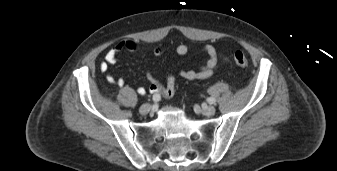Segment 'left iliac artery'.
<instances>
[{"instance_id": "44dca946", "label": "left iliac artery", "mask_w": 337, "mask_h": 171, "mask_svg": "<svg viewBox=\"0 0 337 171\" xmlns=\"http://www.w3.org/2000/svg\"><path fill=\"white\" fill-rule=\"evenodd\" d=\"M207 101H208L209 104H215V102H216L215 98H213V97H209L207 99Z\"/></svg>"}]
</instances>
